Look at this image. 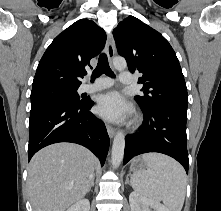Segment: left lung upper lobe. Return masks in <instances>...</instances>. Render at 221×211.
I'll use <instances>...</instances> for the list:
<instances>
[{
    "label": "left lung upper lobe",
    "instance_id": "obj_1",
    "mask_svg": "<svg viewBox=\"0 0 221 211\" xmlns=\"http://www.w3.org/2000/svg\"><path fill=\"white\" fill-rule=\"evenodd\" d=\"M118 53L130 72H140L144 95L135 96L143 110L165 105L188 106L187 87L178 58L169 42L134 16L125 18L113 31Z\"/></svg>",
    "mask_w": 221,
    "mask_h": 211
}]
</instances>
